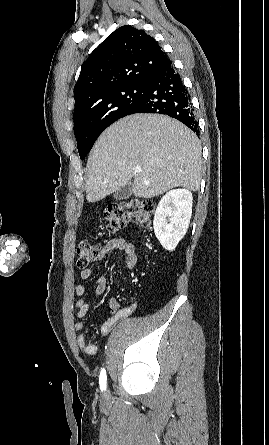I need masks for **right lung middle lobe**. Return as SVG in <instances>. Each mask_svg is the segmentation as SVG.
Returning <instances> with one entry per match:
<instances>
[{"instance_id": "dd1d6c3e", "label": "right lung middle lobe", "mask_w": 269, "mask_h": 445, "mask_svg": "<svg viewBox=\"0 0 269 445\" xmlns=\"http://www.w3.org/2000/svg\"><path fill=\"white\" fill-rule=\"evenodd\" d=\"M145 90V84L122 86L91 98L74 110V133L81 159L90 152L105 128L131 113Z\"/></svg>"}]
</instances>
